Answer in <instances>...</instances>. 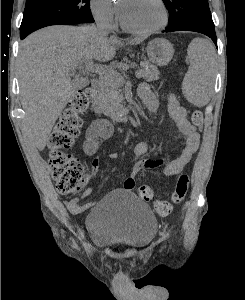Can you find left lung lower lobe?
<instances>
[{
    "mask_svg": "<svg viewBox=\"0 0 245 300\" xmlns=\"http://www.w3.org/2000/svg\"><path fill=\"white\" fill-rule=\"evenodd\" d=\"M173 31H194V32L205 34L208 37H210L213 40L214 44L217 46V38H216L214 26L198 23V22L185 21L179 25L168 27L163 32H173Z\"/></svg>",
    "mask_w": 245,
    "mask_h": 300,
    "instance_id": "obj_1",
    "label": "left lung lower lobe"
}]
</instances>
